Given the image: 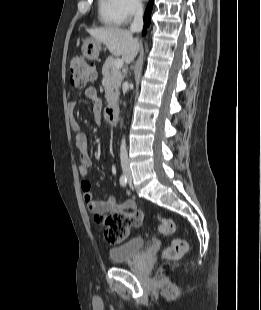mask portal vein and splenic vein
Returning a JSON list of instances; mask_svg holds the SVG:
<instances>
[{
    "instance_id": "portal-vein-and-splenic-vein-1",
    "label": "portal vein and splenic vein",
    "mask_w": 261,
    "mask_h": 310,
    "mask_svg": "<svg viewBox=\"0 0 261 310\" xmlns=\"http://www.w3.org/2000/svg\"><path fill=\"white\" fill-rule=\"evenodd\" d=\"M123 64H124V62H123L122 59H115L114 63H113V66L116 69H121L123 67Z\"/></svg>"
}]
</instances>
